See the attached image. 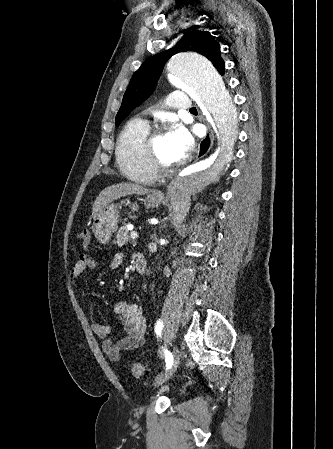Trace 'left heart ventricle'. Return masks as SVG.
<instances>
[{
    "label": "left heart ventricle",
    "instance_id": "b2bd125f",
    "mask_svg": "<svg viewBox=\"0 0 333 449\" xmlns=\"http://www.w3.org/2000/svg\"><path fill=\"white\" fill-rule=\"evenodd\" d=\"M154 148L158 158L167 165H175L176 160L171 151L166 134L157 136L154 140Z\"/></svg>",
    "mask_w": 333,
    "mask_h": 449
}]
</instances>
